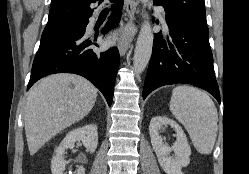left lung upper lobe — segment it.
I'll return each mask as SVG.
<instances>
[{
	"label": "left lung upper lobe",
	"instance_id": "5c2ea615",
	"mask_svg": "<svg viewBox=\"0 0 249 174\" xmlns=\"http://www.w3.org/2000/svg\"><path fill=\"white\" fill-rule=\"evenodd\" d=\"M154 3L180 20L207 27L204 0H154Z\"/></svg>",
	"mask_w": 249,
	"mask_h": 174
}]
</instances>
